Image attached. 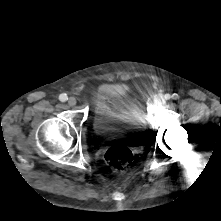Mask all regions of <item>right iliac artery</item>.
I'll return each instance as SVG.
<instances>
[{"mask_svg": "<svg viewBox=\"0 0 221 221\" xmlns=\"http://www.w3.org/2000/svg\"><path fill=\"white\" fill-rule=\"evenodd\" d=\"M59 100L62 102H65L66 100H68V97L65 93H63V94H60Z\"/></svg>", "mask_w": 221, "mask_h": 221, "instance_id": "right-iliac-artery-1", "label": "right iliac artery"}]
</instances>
